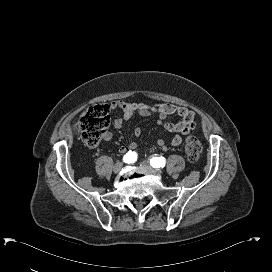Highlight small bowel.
Masks as SVG:
<instances>
[{"instance_id": "obj_1", "label": "small bowel", "mask_w": 272, "mask_h": 272, "mask_svg": "<svg viewBox=\"0 0 272 272\" xmlns=\"http://www.w3.org/2000/svg\"><path fill=\"white\" fill-rule=\"evenodd\" d=\"M113 109H119L122 112V118H116L113 125L116 129L122 127L124 120L130 119L134 114L138 113L144 116H150L153 113L158 115L157 123L162 125L167 131L175 133L172 138L170 145L173 147L179 146L182 142V137L188 135L195 126V113L181 106H176L173 104L160 103L155 105H147L144 103L136 102H124V101H114L111 103ZM177 115L181 117V121L173 124L165 122L168 116ZM136 137L140 136L141 129L136 127L133 131ZM113 137L111 131H106L103 135L104 141H110ZM157 146L165 149L166 143L162 139L156 141ZM138 149V144L136 142L129 143L128 145H123L119 148L120 153H125L129 151H136Z\"/></svg>"}]
</instances>
